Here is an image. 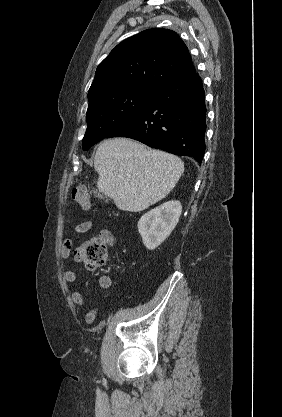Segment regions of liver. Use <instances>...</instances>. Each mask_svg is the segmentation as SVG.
<instances>
[{
  "label": "liver",
  "mask_w": 282,
  "mask_h": 417,
  "mask_svg": "<svg viewBox=\"0 0 282 417\" xmlns=\"http://www.w3.org/2000/svg\"><path fill=\"white\" fill-rule=\"evenodd\" d=\"M94 168L100 192L113 198L117 209L138 213L167 196L184 162L163 150H148L131 138H107L95 152Z\"/></svg>",
  "instance_id": "1"
}]
</instances>
